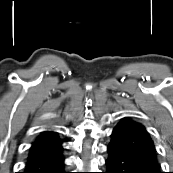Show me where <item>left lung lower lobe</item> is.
<instances>
[{
	"instance_id": "1",
	"label": "left lung lower lobe",
	"mask_w": 173,
	"mask_h": 173,
	"mask_svg": "<svg viewBox=\"0 0 173 173\" xmlns=\"http://www.w3.org/2000/svg\"><path fill=\"white\" fill-rule=\"evenodd\" d=\"M105 173H162L156 156L110 142Z\"/></svg>"
}]
</instances>
